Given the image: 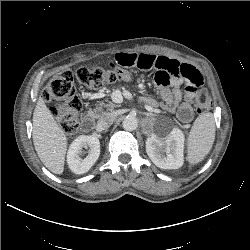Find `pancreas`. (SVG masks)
Returning <instances> with one entry per match:
<instances>
[{
  "label": "pancreas",
  "mask_w": 250,
  "mask_h": 250,
  "mask_svg": "<svg viewBox=\"0 0 250 250\" xmlns=\"http://www.w3.org/2000/svg\"><path fill=\"white\" fill-rule=\"evenodd\" d=\"M118 105L114 104L113 102L109 101L105 104L103 101L97 104V107L92 110L96 117H100L104 113V109L107 108L108 110H113Z\"/></svg>",
  "instance_id": "cf45deb5"
}]
</instances>
